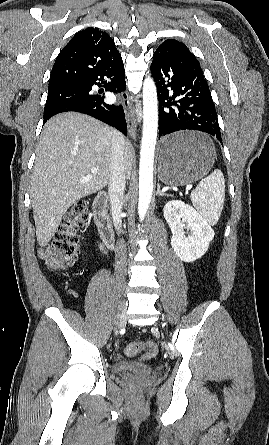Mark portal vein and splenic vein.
Here are the masks:
<instances>
[{
  "label": "portal vein and splenic vein",
  "mask_w": 269,
  "mask_h": 445,
  "mask_svg": "<svg viewBox=\"0 0 269 445\" xmlns=\"http://www.w3.org/2000/svg\"><path fill=\"white\" fill-rule=\"evenodd\" d=\"M91 172L92 173H97V168H95V167L91 168ZM191 188H192V185H187L186 186V190L187 191L190 190Z\"/></svg>",
  "instance_id": "18ae733b"
}]
</instances>
